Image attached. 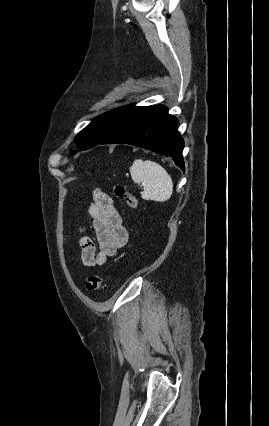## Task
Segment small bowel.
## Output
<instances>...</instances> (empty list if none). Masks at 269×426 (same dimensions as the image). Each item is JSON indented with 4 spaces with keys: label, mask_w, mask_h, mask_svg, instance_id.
I'll use <instances>...</instances> for the list:
<instances>
[{
    "label": "small bowel",
    "mask_w": 269,
    "mask_h": 426,
    "mask_svg": "<svg viewBox=\"0 0 269 426\" xmlns=\"http://www.w3.org/2000/svg\"><path fill=\"white\" fill-rule=\"evenodd\" d=\"M89 214L98 242V250L90 237L85 235L80 237L78 241L81 252L80 260L86 268L104 265L128 241V232L122 217L106 193L100 190L94 191ZM78 231L83 233V227L80 226Z\"/></svg>",
    "instance_id": "1"
}]
</instances>
